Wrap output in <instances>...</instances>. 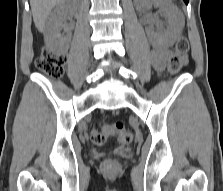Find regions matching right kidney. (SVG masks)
<instances>
[{
  "instance_id": "right-kidney-1",
  "label": "right kidney",
  "mask_w": 223,
  "mask_h": 191,
  "mask_svg": "<svg viewBox=\"0 0 223 191\" xmlns=\"http://www.w3.org/2000/svg\"><path fill=\"white\" fill-rule=\"evenodd\" d=\"M78 0H64L60 2L50 14L46 23L44 38L49 48L58 54L68 50L71 42V30L63 23L70 10L76 9ZM64 32L61 34V31Z\"/></svg>"
}]
</instances>
